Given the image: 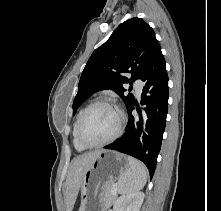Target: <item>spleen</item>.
Here are the masks:
<instances>
[{"instance_id":"obj_1","label":"spleen","mask_w":221,"mask_h":211,"mask_svg":"<svg viewBox=\"0 0 221 211\" xmlns=\"http://www.w3.org/2000/svg\"><path fill=\"white\" fill-rule=\"evenodd\" d=\"M129 169L119 177L118 192L131 194L140 191L147 181V168L135 158L128 157Z\"/></svg>"}]
</instances>
